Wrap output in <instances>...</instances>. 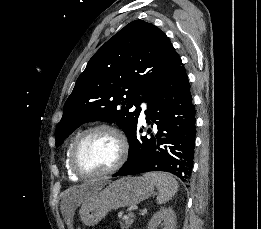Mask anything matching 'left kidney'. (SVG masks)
I'll return each instance as SVG.
<instances>
[{"instance_id": "obj_1", "label": "left kidney", "mask_w": 261, "mask_h": 229, "mask_svg": "<svg viewBox=\"0 0 261 229\" xmlns=\"http://www.w3.org/2000/svg\"><path fill=\"white\" fill-rule=\"evenodd\" d=\"M158 225H161L163 229H176V215L171 207H168V209L163 207L158 213H155L150 219L148 229H156Z\"/></svg>"}]
</instances>
